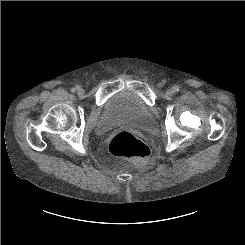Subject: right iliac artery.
Listing matches in <instances>:
<instances>
[{
	"mask_svg": "<svg viewBox=\"0 0 245 245\" xmlns=\"http://www.w3.org/2000/svg\"><path fill=\"white\" fill-rule=\"evenodd\" d=\"M78 88H79L78 86L75 87V88H72V89H71V92H75Z\"/></svg>",
	"mask_w": 245,
	"mask_h": 245,
	"instance_id": "82829eb1",
	"label": "right iliac artery"
}]
</instances>
